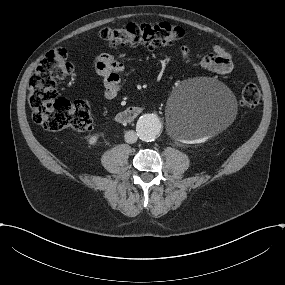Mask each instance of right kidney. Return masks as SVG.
<instances>
[{"instance_id":"obj_1","label":"right kidney","mask_w":285,"mask_h":285,"mask_svg":"<svg viewBox=\"0 0 285 285\" xmlns=\"http://www.w3.org/2000/svg\"><path fill=\"white\" fill-rule=\"evenodd\" d=\"M98 140V136L97 135H94V136H90L89 139H88V142L90 145H94Z\"/></svg>"}]
</instances>
